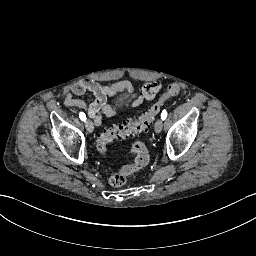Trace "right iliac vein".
Instances as JSON below:
<instances>
[{"mask_svg": "<svg viewBox=\"0 0 256 256\" xmlns=\"http://www.w3.org/2000/svg\"><path fill=\"white\" fill-rule=\"evenodd\" d=\"M85 127L89 133H92L94 130L93 122L90 119H87V121H85Z\"/></svg>", "mask_w": 256, "mask_h": 256, "instance_id": "right-iliac-vein-1", "label": "right iliac vein"}]
</instances>
